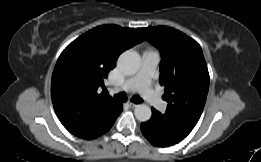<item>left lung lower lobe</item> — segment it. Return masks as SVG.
<instances>
[{
	"instance_id": "obj_1",
	"label": "left lung lower lobe",
	"mask_w": 261,
	"mask_h": 162,
	"mask_svg": "<svg viewBox=\"0 0 261 162\" xmlns=\"http://www.w3.org/2000/svg\"><path fill=\"white\" fill-rule=\"evenodd\" d=\"M193 126L187 122L152 108V117L141 124L145 138L154 146L167 147L182 141L192 131Z\"/></svg>"
}]
</instances>
